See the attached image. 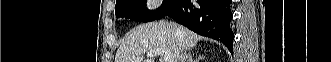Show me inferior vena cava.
Returning a JSON list of instances; mask_svg holds the SVG:
<instances>
[{
	"instance_id": "1",
	"label": "inferior vena cava",
	"mask_w": 331,
	"mask_h": 62,
	"mask_svg": "<svg viewBox=\"0 0 331 62\" xmlns=\"http://www.w3.org/2000/svg\"><path fill=\"white\" fill-rule=\"evenodd\" d=\"M185 59H186V52L184 47H181L179 54V62H185Z\"/></svg>"
}]
</instances>
